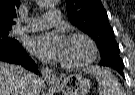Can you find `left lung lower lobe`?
Listing matches in <instances>:
<instances>
[{
	"instance_id": "1",
	"label": "left lung lower lobe",
	"mask_w": 135,
	"mask_h": 95,
	"mask_svg": "<svg viewBox=\"0 0 135 95\" xmlns=\"http://www.w3.org/2000/svg\"><path fill=\"white\" fill-rule=\"evenodd\" d=\"M99 64L104 65V66L113 67L114 69H116L120 73L121 76L124 77V74H123V62L122 61H118V60H113V61L102 60Z\"/></svg>"
}]
</instances>
